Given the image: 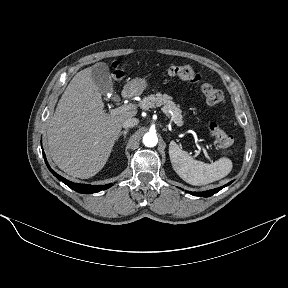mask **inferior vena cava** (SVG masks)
<instances>
[{"instance_id":"obj_1","label":"inferior vena cava","mask_w":288,"mask_h":288,"mask_svg":"<svg viewBox=\"0 0 288 288\" xmlns=\"http://www.w3.org/2000/svg\"><path fill=\"white\" fill-rule=\"evenodd\" d=\"M139 123V120L137 118H134V117H129L127 118L124 122H123V128H132L136 125H138Z\"/></svg>"}]
</instances>
